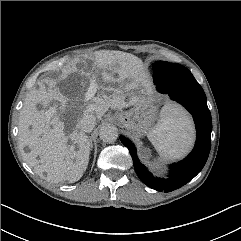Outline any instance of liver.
<instances>
[{
  "instance_id": "6515ba94",
  "label": "liver",
  "mask_w": 241,
  "mask_h": 241,
  "mask_svg": "<svg viewBox=\"0 0 241 241\" xmlns=\"http://www.w3.org/2000/svg\"><path fill=\"white\" fill-rule=\"evenodd\" d=\"M92 60L93 67L89 73L77 69L75 64L62 71L58 82L64 85L71 82L73 73L82 76L80 91L74 97L63 95L56 81L50 82L48 88L40 83L38 88L29 92L20 112L19 146L22 151L25 147L29 149L27 153L23 151V157L37 174L46 173L45 179L53 183H74L87 169L90 141L79 127L82 116L89 113L101 119L109 108H127L135 104L142 95L139 86L147 85L141 73L142 61L132 54L100 51ZM114 73L118 74V78L114 77ZM114 84L117 85L113 86ZM95 93L98 95L95 96ZM82 95L84 99L81 100ZM51 101L60 102V109H68L70 112L75 104L83 102L73 112L75 128L70 134H65V125L59 114L51 119L47 112L38 110V104L47 107ZM68 102L71 104L67 105ZM69 140L73 141L72 145H68Z\"/></svg>"
}]
</instances>
